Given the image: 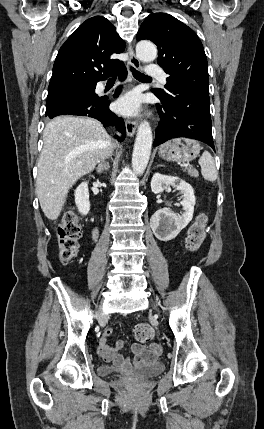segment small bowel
<instances>
[{
  "label": "small bowel",
  "mask_w": 264,
  "mask_h": 429,
  "mask_svg": "<svg viewBox=\"0 0 264 429\" xmlns=\"http://www.w3.org/2000/svg\"><path fill=\"white\" fill-rule=\"evenodd\" d=\"M97 238V230L93 231V239ZM111 329H107L104 332V335L100 339L98 352L100 356L106 361L113 362L117 367L120 368H130L131 361L127 358H124L120 351L124 348L125 344L123 341L119 340L116 342L115 346H109L107 344V339L111 335ZM161 346L158 343H151L147 346L141 344H132L131 351L134 354L133 362L135 365H142L151 363L156 360V358L161 353Z\"/></svg>",
  "instance_id": "small-bowel-1"
}]
</instances>
